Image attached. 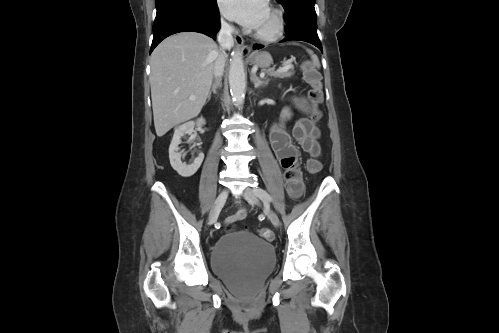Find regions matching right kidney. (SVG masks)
<instances>
[{
  "mask_svg": "<svg viewBox=\"0 0 499 333\" xmlns=\"http://www.w3.org/2000/svg\"><path fill=\"white\" fill-rule=\"evenodd\" d=\"M204 124L205 120L203 118H200L196 122L190 121L175 128V132L169 147V159L173 169L177 171V173L182 177H190L197 172L203 162L204 154L200 153L198 157L195 158L194 161L189 165L183 163L181 161L182 155L178 152V145L181 143V137L185 134H192L195 125L203 126Z\"/></svg>",
  "mask_w": 499,
  "mask_h": 333,
  "instance_id": "right-kidney-1",
  "label": "right kidney"
}]
</instances>
